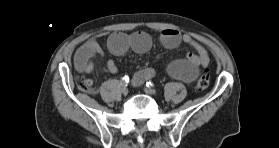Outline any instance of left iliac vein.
<instances>
[{
	"label": "left iliac vein",
	"instance_id": "4c4485c4",
	"mask_svg": "<svg viewBox=\"0 0 279 148\" xmlns=\"http://www.w3.org/2000/svg\"><path fill=\"white\" fill-rule=\"evenodd\" d=\"M144 92L149 95H156V91L152 88H144Z\"/></svg>",
	"mask_w": 279,
	"mask_h": 148
}]
</instances>
